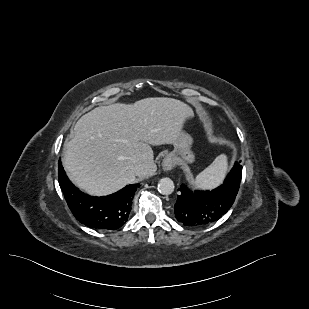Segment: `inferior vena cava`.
Instances as JSON below:
<instances>
[{"label":"inferior vena cava","mask_w":309,"mask_h":309,"mask_svg":"<svg viewBox=\"0 0 309 309\" xmlns=\"http://www.w3.org/2000/svg\"><path fill=\"white\" fill-rule=\"evenodd\" d=\"M133 163H134V171L136 174H139L142 170V165L136 160L134 159L133 160Z\"/></svg>","instance_id":"inferior-vena-cava-1"}]
</instances>
